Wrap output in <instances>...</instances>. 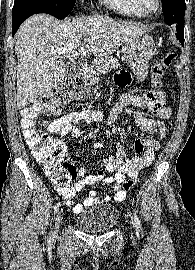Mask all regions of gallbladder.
<instances>
[{"label":"gallbladder","instance_id":"1","mask_svg":"<svg viewBox=\"0 0 195 270\" xmlns=\"http://www.w3.org/2000/svg\"><path fill=\"white\" fill-rule=\"evenodd\" d=\"M77 74H78V66H77V64L73 63V62L69 63L68 68H67V76L68 77H73V76H75Z\"/></svg>","mask_w":195,"mask_h":270}]
</instances>
